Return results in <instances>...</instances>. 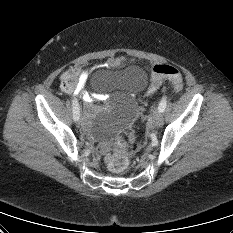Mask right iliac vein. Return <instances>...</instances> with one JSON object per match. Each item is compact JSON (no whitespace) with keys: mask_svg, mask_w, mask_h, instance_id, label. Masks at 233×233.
I'll return each mask as SVG.
<instances>
[{"mask_svg":"<svg viewBox=\"0 0 233 233\" xmlns=\"http://www.w3.org/2000/svg\"><path fill=\"white\" fill-rule=\"evenodd\" d=\"M75 128L76 129H81L82 128V123L79 122V120H77V122L75 123Z\"/></svg>","mask_w":233,"mask_h":233,"instance_id":"obj_1","label":"right iliac vein"}]
</instances>
